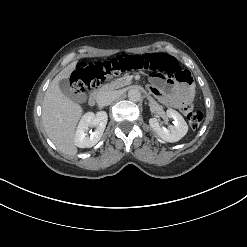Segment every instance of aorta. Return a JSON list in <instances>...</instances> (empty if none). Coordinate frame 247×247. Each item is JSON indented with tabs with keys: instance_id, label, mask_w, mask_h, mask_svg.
Returning <instances> with one entry per match:
<instances>
[{
	"instance_id": "762f6f07",
	"label": "aorta",
	"mask_w": 247,
	"mask_h": 247,
	"mask_svg": "<svg viewBox=\"0 0 247 247\" xmlns=\"http://www.w3.org/2000/svg\"><path fill=\"white\" fill-rule=\"evenodd\" d=\"M128 98L133 102H138L141 99V92L136 88H132L128 91Z\"/></svg>"
}]
</instances>
